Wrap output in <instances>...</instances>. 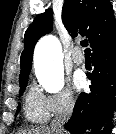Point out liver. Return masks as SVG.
<instances>
[{
  "instance_id": "6515ba94",
  "label": "liver",
  "mask_w": 116,
  "mask_h": 134,
  "mask_svg": "<svg viewBox=\"0 0 116 134\" xmlns=\"http://www.w3.org/2000/svg\"><path fill=\"white\" fill-rule=\"evenodd\" d=\"M21 134H55V132L49 128H42V129H36L33 131H28V132H22Z\"/></svg>"
}]
</instances>
